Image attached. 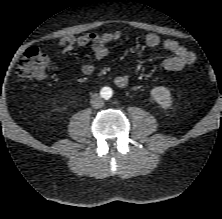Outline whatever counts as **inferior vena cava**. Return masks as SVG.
<instances>
[{"label":"inferior vena cava","mask_w":222,"mask_h":219,"mask_svg":"<svg viewBox=\"0 0 222 219\" xmlns=\"http://www.w3.org/2000/svg\"><path fill=\"white\" fill-rule=\"evenodd\" d=\"M90 103L93 108H100L104 105L103 99L98 94L92 95Z\"/></svg>","instance_id":"602c4592"}]
</instances>
